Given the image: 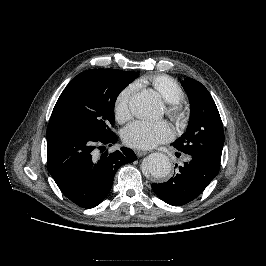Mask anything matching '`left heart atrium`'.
<instances>
[{"mask_svg":"<svg viewBox=\"0 0 266 266\" xmlns=\"http://www.w3.org/2000/svg\"><path fill=\"white\" fill-rule=\"evenodd\" d=\"M173 132L165 121L136 120L123 130L124 143L132 148L149 149L172 138Z\"/></svg>","mask_w":266,"mask_h":266,"instance_id":"39dd6f15","label":"left heart atrium"}]
</instances>
